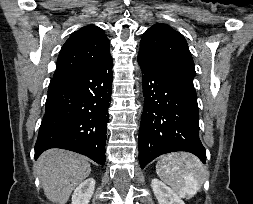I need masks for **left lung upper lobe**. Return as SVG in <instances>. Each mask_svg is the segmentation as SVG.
<instances>
[{
	"mask_svg": "<svg viewBox=\"0 0 253 204\" xmlns=\"http://www.w3.org/2000/svg\"><path fill=\"white\" fill-rule=\"evenodd\" d=\"M138 56L159 68L193 81L194 62L182 34L157 23L142 36Z\"/></svg>",
	"mask_w": 253,
	"mask_h": 204,
	"instance_id": "left-lung-upper-lobe-1",
	"label": "left lung upper lobe"
}]
</instances>
